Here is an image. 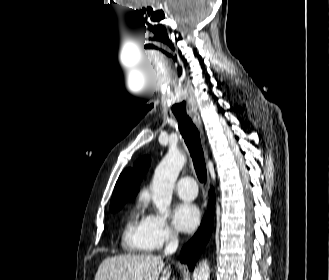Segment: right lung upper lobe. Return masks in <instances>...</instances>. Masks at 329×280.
<instances>
[{"instance_id":"obj_1","label":"right lung upper lobe","mask_w":329,"mask_h":280,"mask_svg":"<svg viewBox=\"0 0 329 280\" xmlns=\"http://www.w3.org/2000/svg\"><path fill=\"white\" fill-rule=\"evenodd\" d=\"M149 164L150 158L148 156L142 157L135 162L133 169H126L120 174L114 188L110 207L137 194L141 179L148 170Z\"/></svg>"}]
</instances>
